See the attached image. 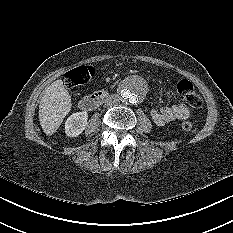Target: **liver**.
<instances>
[{
  "instance_id": "obj_1",
  "label": "liver",
  "mask_w": 233,
  "mask_h": 233,
  "mask_svg": "<svg viewBox=\"0 0 233 233\" xmlns=\"http://www.w3.org/2000/svg\"><path fill=\"white\" fill-rule=\"evenodd\" d=\"M71 107V96L62 80L54 81L44 90L39 105V121L46 135L57 131Z\"/></svg>"
}]
</instances>
